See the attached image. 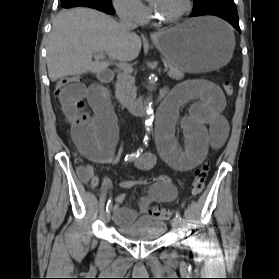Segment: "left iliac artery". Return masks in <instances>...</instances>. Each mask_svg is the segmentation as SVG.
I'll use <instances>...</instances> for the list:
<instances>
[{
	"label": "left iliac artery",
	"mask_w": 279,
	"mask_h": 279,
	"mask_svg": "<svg viewBox=\"0 0 279 279\" xmlns=\"http://www.w3.org/2000/svg\"><path fill=\"white\" fill-rule=\"evenodd\" d=\"M176 219L179 221V222H181V215L178 213V212H176Z\"/></svg>",
	"instance_id": "obj_1"
}]
</instances>
